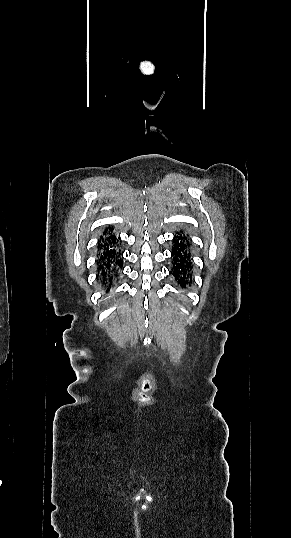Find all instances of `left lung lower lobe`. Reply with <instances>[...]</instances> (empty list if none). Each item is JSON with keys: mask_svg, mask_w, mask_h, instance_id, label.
Here are the masks:
<instances>
[{"mask_svg": "<svg viewBox=\"0 0 291 538\" xmlns=\"http://www.w3.org/2000/svg\"><path fill=\"white\" fill-rule=\"evenodd\" d=\"M189 242L186 237L175 235L174 245L172 247L173 267L170 273L174 276L175 280L182 287L190 286L192 277L190 275V269L192 263L190 261L189 252H187Z\"/></svg>", "mask_w": 291, "mask_h": 538, "instance_id": "obj_1", "label": "left lung lower lobe"}]
</instances>
